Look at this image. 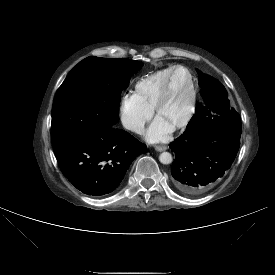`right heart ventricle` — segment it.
<instances>
[{"mask_svg":"<svg viewBox=\"0 0 275 275\" xmlns=\"http://www.w3.org/2000/svg\"><path fill=\"white\" fill-rule=\"evenodd\" d=\"M173 67L160 69L139 80L133 90L135 98L146 108L153 110L157 98Z\"/></svg>","mask_w":275,"mask_h":275,"instance_id":"1","label":"right heart ventricle"}]
</instances>
